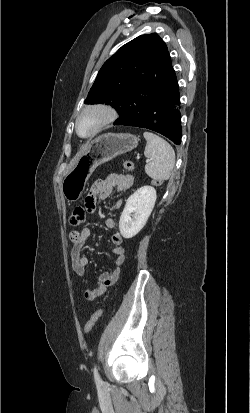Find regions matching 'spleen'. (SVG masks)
<instances>
[{"instance_id": "spleen-1", "label": "spleen", "mask_w": 250, "mask_h": 413, "mask_svg": "<svg viewBox=\"0 0 250 413\" xmlns=\"http://www.w3.org/2000/svg\"><path fill=\"white\" fill-rule=\"evenodd\" d=\"M146 147L144 155L150 160L145 166L146 174L156 181L168 180L175 166V152L163 138L144 132Z\"/></svg>"}]
</instances>
